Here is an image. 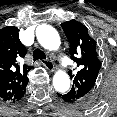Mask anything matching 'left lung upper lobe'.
I'll use <instances>...</instances> for the list:
<instances>
[{"label":"left lung upper lobe","instance_id":"1","mask_svg":"<svg viewBox=\"0 0 117 117\" xmlns=\"http://www.w3.org/2000/svg\"><path fill=\"white\" fill-rule=\"evenodd\" d=\"M70 42V55L79 67L76 75H71L73 86L68 95L74 100L85 98L95 85L101 62L96 51V42L89 36L82 23L71 20L61 24Z\"/></svg>","mask_w":117,"mask_h":117}]
</instances>
